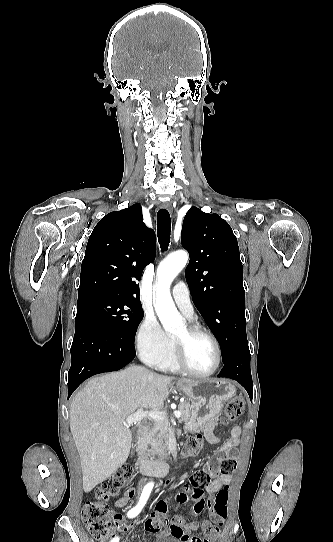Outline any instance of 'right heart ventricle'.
Listing matches in <instances>:
<instances>
[{
    "label": "right heart ventricle",
    "mask_w": 333,
    "mask_h": 542,
    "mask_svg": "<svg viewBox=\"0 0 333 542\" xmlns=\"http://www.w3.org/2000/svg\"><path fill=\"white\" fill-rule=\"evenodd\" d=\"M145 361L149 365L164 371H177L179 369L172 357L171 345L164 352L148 357Z\"/></svg>",
    "instance_id": "obj_1"
}]
</instances>
